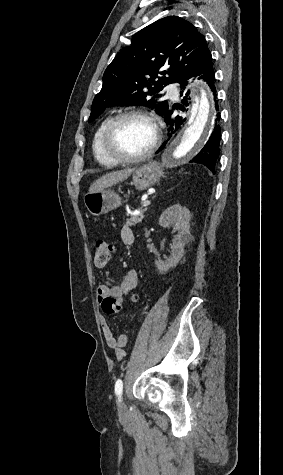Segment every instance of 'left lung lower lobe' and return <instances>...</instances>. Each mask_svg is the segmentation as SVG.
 <instances>
[{
    "label": "left lung lower lobe",
    "mask_w": 283,
    "mask_h": 475,
    "mask_svg": "<svg viewBox=\"0 0 283 475\" xmlns=\"http://www.w3.org/2000/svg\"><path fill=\"white\" fill-rule=\"evenodd\" d=\"M193 76H199V79H204L208 86L211 89V92L214 96V101H215V108L218 111V104L216 100V87H215V75H214V70L212 67V57L208 58L206 61L201 63L199 66L196 68L192 69L188 73H186L183 77L178 79L176 82L181 85V90H180V95H183L184 93L186 95H189V91H186V85H187V80L190 79ZM187 97H184L183 103L187 104ZM173 109H181L180 107H176ZM167 125H169V136L171 137L172 134H174L183 124V122L186 119H183L181 116L173 115V111L169 109V107L166 109V111L163 113ZM220 120V115L217 114V119L216 121ZM220 137H221V128L220 126L216 123L214 130L205 144V146L202 148V150L190 161L195 162V163H200L204 164L207 166L210 170L214 172V167L216 164V160L219 156V143H220ZM165 147V144L160 148V151L163 150ZM158 153V152H157Z\"/></svg>",
    "instance_id": "left-lung-lower-lobe-1"
}]
</instances>
